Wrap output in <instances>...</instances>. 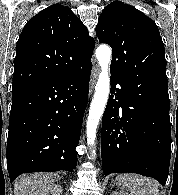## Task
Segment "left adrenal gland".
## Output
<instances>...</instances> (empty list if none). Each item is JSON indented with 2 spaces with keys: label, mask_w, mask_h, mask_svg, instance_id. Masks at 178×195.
I'll return each instance as SVG.
<instances>
[{
  "label": "left adrenal gland",
  "mask_w": 178,
  "mask_h": 195,
  "mask_svg": "<svg viewBox=\"0 0 178 195\" xmlns=\"http://www.w3.org/2000/svg\"><path fill=\"white\" fill-rule=\"evenodd\" d=\"M113 185H114V182L112 181V182H111V186H113Z\"/></svg>",
  "instance_id": "left-adrenal-gland-1"
}]
</instances>
